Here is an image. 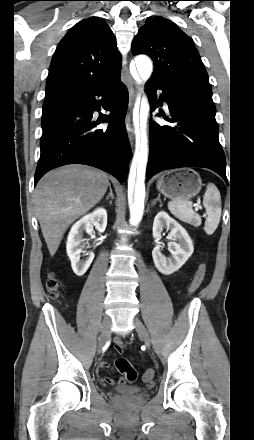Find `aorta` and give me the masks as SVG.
Returning a JSON list of instances; mask_svg holds the SVG:
<instances>
[{"label": "aorta", "instance_id": "1", "mask_svg": "<svg viewBox=\"0 0 254 440\" xmlns=\"http://www.w3.org/2000/svg\"><path fill=\"white\" fill-rule=\"evenodd\" d=\"M140 78L147 81L153 71L152 61L145 55L135 58ZM149 102L143 97L133 111V122L136 129V150L128 180V203L130 210L129 222L137 225L143 217L145 200V173L148 161L147 117Z\"/></svg>", "mask_w": 254, "mask_h": 440}]
</instances>
